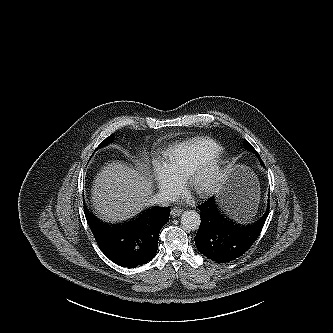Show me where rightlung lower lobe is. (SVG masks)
Here are the masks:
<instances>
[{
    "label": "right lung lower lobe",
    "instance_id": "obj_1",
    "mask_svg": "<svg viewBox=\"0 0 333 333\" xmlns=\"http://www.w3.org/2000/svg\"><path fill=\"white\" fill-rule=\"evenodd\" d=\"M84 213L102 252L114 263L127 268L149 262L157 252L161 228L169 221L170 208L153 207L130 221L111 224Z\"/></svg>",
    "mask_w": 333,
    "mask_h": 333
}]
</instances>
